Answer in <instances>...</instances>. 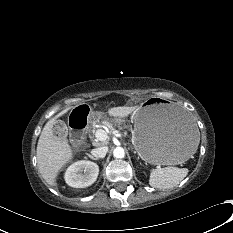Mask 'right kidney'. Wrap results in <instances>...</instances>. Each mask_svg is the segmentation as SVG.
Listing matches in <instances>:
<instances>
[{
  "mask_svg": "<svg viewBox=\"0 0 233 233\" xmlns=\"http://www.w3.org/2000/svg\"><path fill=\"white\" fill-rule=\"evenodd\" d=\"M99 174V167L91 161H77L70 165L65 173L66 183L74 188H85L92 185Z\"/></svg>",
  "mask_w": 233,
  "mask_h": 233,
  "instance_id": "obj_1",
  "label": "right kidney"
}]
</instances>
